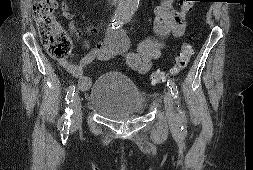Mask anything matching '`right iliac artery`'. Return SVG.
I'll list each match as a JSON object with an SVG mask.
<instances>
[{"mask_svg":"<svg viewBox=\"0 0 253 170\" xmlns=\"http://www.w3.org/2000/svg\"><path fill=\"white\" fill-rule=\"evenodd\" d=\"M123 18L121 17H114L113 20H112V23H111V29H118L120 26H122L123 24ZM75 94V85H72L69 87V90L67 92V95H66V103L67 104H70L72 101H73V96ZM72 114V110H70L69 108H66V121L64 122V125L65 126H70V122H69V118H70V115Z\"/></svg>","mask_w":253,"mask_h":170,"instance_id":"82829eb1","label":"right iliac artery"}]
</instances>
